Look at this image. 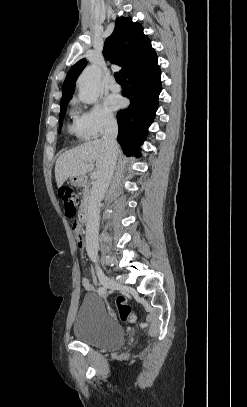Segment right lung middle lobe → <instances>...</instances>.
Returning <instances> with one entry per match:
<instances>
[{"label": "right lung middle lobe", "mask_w": 247, "mask_h": 407, "mask_svg": "<svg viewBox=\"0 0 247 407\" xmlns=\"http://www.w3.org/2000/svg\"><path fill=\"white\" fill-rule=\"evenodd\" d=\"M68 103H69V101H65V102L61 103V105H60L61 106L60 117H59L60 127L62 126Z\"/></svg>", "instance_id": "right-lung-middle-lobe-1"}]
</instances>
